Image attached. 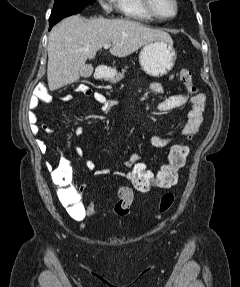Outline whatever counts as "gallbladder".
Listing matches in <instances>:
<instances>
[{
	"instance_id": "gallbladder-1",
	"label": "gallbladder",
	"mask_w": 240,
	"mask_h": 287,
	"mask_svg": "<svg viewBox=\"0 0 240 287\" xmlns=\"http://www.w3.org/2000/svg\"><path fill=\"white\" fill-rule=\"evenodd\" d=\"M92 73H93L92 65H85L80 71V76L83 78H87L90 77Z\"/></svg>"
}]
</instances>
